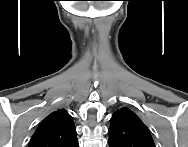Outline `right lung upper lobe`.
<instances>
[{
  "mask_svg": "<svg viewBox=\"0 0 188 147\" xmlns=\"http://www.w3.org/2000/svg\"><path fill=\"white\" fill-rule=\"evenodd\" d=\"M72 117L64 109L48 115L33 134L29 147H78Z\"/></svg>",
  "mask_w": 188,
  "mask_h": 147,
  "instance_id": "cb5924a9",
  "label": "right lung upper lobe"
}]
</instances>
